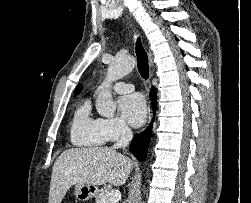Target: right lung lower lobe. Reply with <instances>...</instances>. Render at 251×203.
Listing matches in <instances>:
<instances>
[{"instance_id": "obj_1", "label": "right lung lower lobe", "mask_w": 251, "mask_h": 203, "mask_svg": "<svg viewBox=\"0 0 251 203\" xmlns=\"http://www.w3.org/2000/svg\"><path fill=\"white\" fill-rule=\"evenodd\" d=\"M152 103H153V114L155 115L156 110V91L155 88H151ZM154 119V117H153ZM153 120L150 126L143 131L141 134H136L130 144V151L140 161L146 158V152L151 139V129Z\"/></svg>"}]
</instances>
